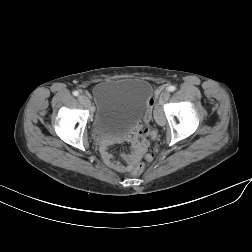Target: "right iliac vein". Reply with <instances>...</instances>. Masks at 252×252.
I'll list each match as a JSON object with an SVG mask.
<instances>
[{"label":"right iliac vein","mask_w":252,"mask_h":252,"mask_svg":"<svg viewBox=\"0 0 252 252\" xmlns=\"http://www.w3.org/2000/svg\"><path fill=\"white\" fill-rule=\"evenodd\" d=\"M80 103H82L85 107H90V100H89V97L85 94H81L79 97H78Z\"/></svg>","instance_id":"63e3f726"}]
</instances>
